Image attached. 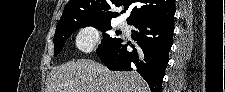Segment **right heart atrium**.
I'll return each mask as SVG.
<instances>
[{"label":"right heart atrium","instance_id":"obj_1","mask_svg":"<svg viewBox=\"0 0 225 92\" xmlns=\"http://www.w3.org/2000/svg\"><path fill=\"white\" fill-rule=\"evenodd\" d=\"M100 30L94 25L79 29L75 35V46L83 53H89L97 48L100 42Z\"/></svg>","mask_w":225,"mask_h":92}]
</instances>
